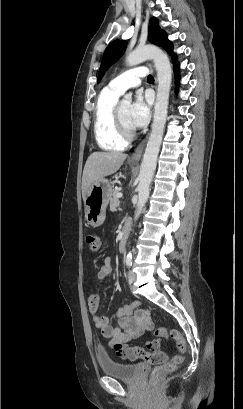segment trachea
Listing matches in <instances>:
<instances>
[{
    "mask_svg": "<svg viewBox=\"0 0 243 409\" xmlns=\"http://www.w3.org/2000/svg\"><path fill=\"white\" fill-rule=\"evenodd\" d=\"M147 80H148V81H154V78L152 77V75H149V76L147 77Z\"/></svg>",
    "mask_w": 243,
    "mask_h": 409,
    "instance_id": "3493384b",
    "label": "trachea"
}]
</instances>
